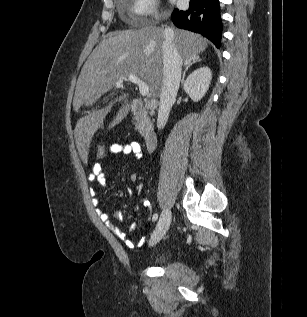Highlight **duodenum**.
<instances>
[{
    "label": "duodenum",
    "instance_id": "duodenum-1",
    "mask_svg": "<svg viewBox=\"0 0 307 317\" xmlns=\"http://www.w3.org/2000/svg\"><path fill=\"white\" fill-rule=\"evenodd\" d=\"M130 109L132 114L140 120L141 133L146 149L149 151L152 150L157 138L147 107L140 100H132Z\"/></svg>",
    "mask_w": 307,
    "mask_h": 317
}]
</instances>
